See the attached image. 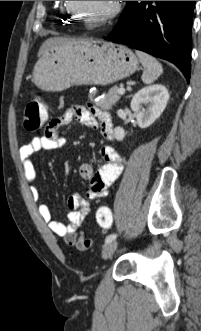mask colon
I'll use <instances>...</instances> for the list:
<instances>
[{
  "label": "colon",
  "mask_w": 201,
  "mask_h": 331,
  "mask_svg": "<svg viewBox=\"0 0 201 331\" xmlns=\"http://www.w3.org/2000/svg\"><path fill=\"white\" fill-rule=\"evenodd\" d=\"M48 118L43 102L39 99L29 101L24 111V126L28 131H35L42 128ZM113 217L108 206H100L96 211V222L102 228H109L112 225ZM93 244L91 238L82 237L76 242L78 249H87Z\"/></svg>",
  "instance_id": "colon-1"
}]
</instances>
